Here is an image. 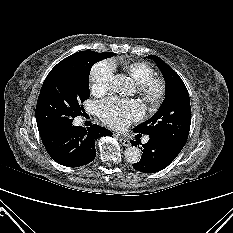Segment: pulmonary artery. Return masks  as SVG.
<instances>
[{"label":"pulmonary artery","mask_w":233,"mask_h":233,"mask_svg":"<svg viewBox=\"0 0 233 233\" xmlns=\"http://www.w3.org/2000/svg\"><path fill=\"white\" fill-rule=\"evenodd\" d=\"M143 141L146 143L148 141V137H145Z\"/></svg>","instance_id":"1"}]
</instances>
